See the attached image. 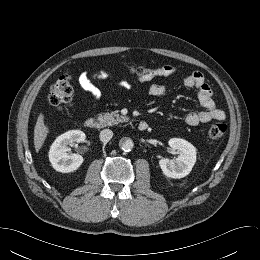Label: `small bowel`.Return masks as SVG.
Returning <instances> with one entry per match:
<instances>
[{
    "label": "small bowel",
    "instance_id": "small-bowel-1",
    "mask_svg": "<svg viewBox=\"0 0 260 260\" xmlns=\"http://www.w3.org/2000/svg\"><path fill=\"white\" fill-rule=\"evenodd\" d=\"M176 73V68L172 65H163L150 71V73L141 78L142 81H148L154 77H166ZM109 77L106 72H96L93 78L99 80H105ZM79 84L81 88L91 95L93 102L96 103L101 97L100 89L93 83L92 77L87 72H82L79 76ZM183 84L186 88H196L198 90V98L202 110L190 112L185 116V123L189 126H197L199 124L210 122L211 120H224L225 112L216 107L213 100V93L205 81L204 75L195 71L184 78ZM118 85L130 89L131 86L126 81L118 82ZM167 91V87L164 84H153L149 88V94L152 97H160Z\"/></svg>",
    "mask_w": 260,
    "mask_h": 260
}]
</instances>
